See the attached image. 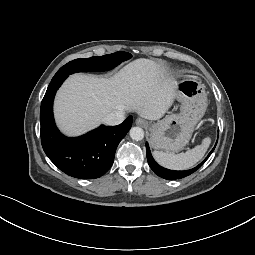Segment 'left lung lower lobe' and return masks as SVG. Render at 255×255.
<instances>
[{"instance_id": "1", "label": "left lung lower lobe", "mask_w": 255, "mask_h": 255, "mask_svg": "<svg viewBox=\"0 0 255 255\" xmlns=\"http://www.w3.org/2000/svg\"><path fill=\"white\" fill-rule=\"evenodd\" d=\"M146 149H147V161H148V164L151 167V169L154 171V173L164 179H167V180H176V179H181L183 177H186V176L194 173L195 171H197L202 166V164L205 162V160H207V158L211 155V153L213 152L215 147L211 150V152L208 154V156L205 158V160L202 163H200L198 166H196L190 170H185V171L168 170V169H165V168L159 166L154 161V159L151 155L148 143H146Z\"/></svg>"}]
</instances>
